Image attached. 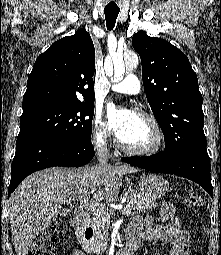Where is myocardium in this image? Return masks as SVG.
I'll use <instances>...</instances> for the list:
<instances>
[{"instance_id": "1", "label": "myocardium", "mask_w": 221, "mask_h": 255, "mask_svg": "<svg viewBox=\"0 0 221 255\" xmlns=\"http://www.w3.org/2000/svg\"><path fill=\"white\" fill-rule=\"evenodd\" d=\"M133 114L144 118L151 124L155 133L154 143L148 148H143V149L131 148L124 145L120 141L119 137L116 135L115 143L117 148L127 154L135 155V156H151V155H155L159 153L164 145V134L159 122L152 114L141 109H134Z\"/></svg>"}]
</instances>
